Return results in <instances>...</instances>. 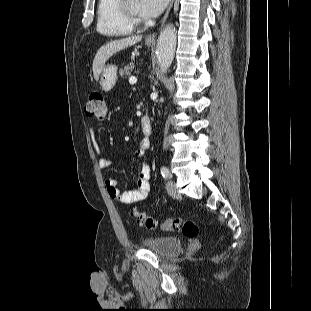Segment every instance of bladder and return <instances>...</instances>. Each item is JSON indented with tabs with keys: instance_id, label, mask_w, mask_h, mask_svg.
<instances>
[{
	"instance_id": "bladder-1",
	"label": "bladder",
	"mask_w": 311,
	"mask_h": 311,
	"mask_svg": "<svg viewBox=\"0 0 311 311\" xmlns=\"http://www.w3.org/2000/svg\"><path fill=\"white\" fill-rule=\"evenodd\" d=\"M142 245L161 256H169L181 249L182 241L173 236H149L142 239Z\"/></svg>"
}]
</instances>
